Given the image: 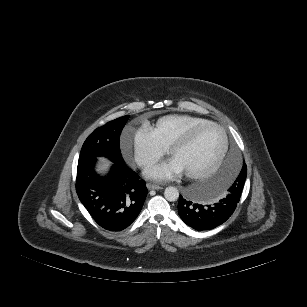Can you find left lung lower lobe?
Wrapping results in <instances>:
<instances>
[{
	"label": "left lung lower lobe",
	"instance_id": "0a47b994",
	"mask_svg": "<svg viewBox=\"0 0 307 307\" xmlns=\"http://www.w3.org/2000/svg\"><path fill=\"white\" fill-rule=\"evenodd\" d=\"M240 197L235 193L228 192L217 203L202 205L180 195L178 213L184 223L193 229L197 231L211 230L228 220L235 211Z\"/></svg>",
	"mask_w": 307,
	"mask_h": 307
}]
</instances>
